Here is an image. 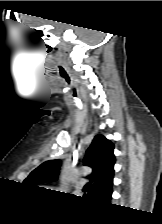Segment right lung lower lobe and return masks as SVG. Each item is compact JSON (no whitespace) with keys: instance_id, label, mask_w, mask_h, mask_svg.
<instances>
[{"instance_id":"right-lung-lower-lobe-1","label":"right lung lower lobe","mask_w":162,"mask_h":224,"mask_svg":"<svg viewBox=\"0 0 162 224\" xmlns=\"http://www.w3.org/2000/svg\"><path fill=\"white\" fill-rule=\"evenodd\" d=\"M111 196H112V193L109 194L108 196H106L103 200L106 201V202H109L110 199H111Z\"/></svg>"}]
</instances>
